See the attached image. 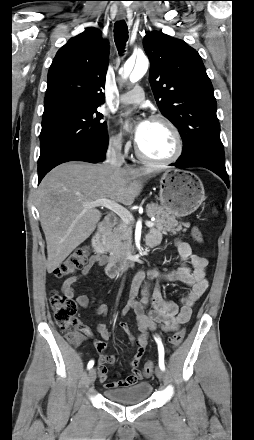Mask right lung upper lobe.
I'll return each mask as SVG.
<instances>
[{
  "mask_svg": "<svg viewBox=\"0 0 254 440\" xmlns=\"http://www.w3.org/2000/svg\"><path fill=\"white\" fill-rule=\"evenodd\" d=\"M108 68V43L87 28L61 47L49 68L44 107L59 101L99 106Z\"/></svg>",
  "mask_w": 254,
  "mask_h": 440,
  "instance_id": "right-lung-upper-lobe-1",
  "label": "right lung upper lobe"
}]
</instances>
